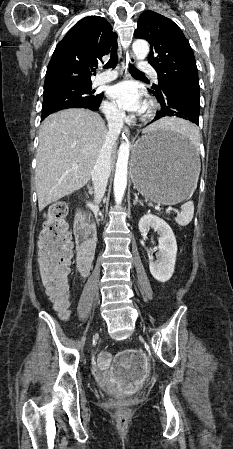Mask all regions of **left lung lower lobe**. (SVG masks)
<instances>
[{"instance_id":"obj_1","label":"left lung lower lobe","mask_w":233,"mask_h":449,"mask_svg":"<svg viewBox=\"0 0 233 449\" xmlns=\"http://www.w3.org/2000/svg\"><path fill=\"white\" fill-rule=\"evenodd\" d=\"M161 104V111L157 112L155 119L158 120L165 116H177L199 125V100L171 89L167 86H162L158 90H150Z\"/></svg>"}]
</instances>
